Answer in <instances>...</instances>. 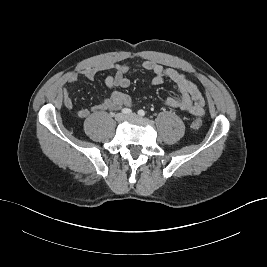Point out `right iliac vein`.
<instances>
[{
  "label": "right iliac vein",
  "mask_w": 267,
  "mask_h": 267,
  "mask_svg": "<svg viewBox=\"0 0 267 267\" xmlns=\"http://www.w3.org/2000/svg\"><path fill=\"white\" fill-rule=\"evenodd\" d=\"M115 119L117 122H122L126 119V115L123 114V113H118L116 116H115Z\"/></svg>",
  "instance_id": "63e3f726"
}]
</instances>
